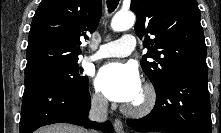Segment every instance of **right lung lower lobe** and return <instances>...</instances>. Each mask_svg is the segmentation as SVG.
Here are the masks:
<instances>
[{
	"instance_id": "obj_1",
	"label": "right lung lower lobe",
	"mask_w": 221,
	"mask_h": 133,
	"mask_svg": "<svg viewBox=\"0 0 221 133\" xmlns=\"http://www.w3.org/2000/svg\"><path fill=\"white\" fill-rule=\"evenodd\" d=\"M90 107L88 83L72 87L55 76L25 75L20 133H32L41 126L58 122L99 128L97 123L88 120ZM101 129L113 133L109 121Z\"/></svg>"
}]
</instances>
